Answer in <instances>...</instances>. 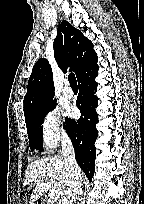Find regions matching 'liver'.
<instances>
[{
    "label": "liver",
    "mask_w": 144,
    "mask_h": 204,
    "mask_svg": "<svg viewBox=\"0 0 144 204\" xmlns=\"http://www.w3.org/2000/svg\"><path fill=\"white\" fill-rule=\"evenodd\" d=\"M37 179L39 180L38 182H36ZM33 182L36 183V187L26 197L29 204H34L43 195L45 191L44 184L46 182H50L52 187L57 189L61 198H63L68 189V177L64 158L61 155H55L32 161L25 170L23 186L26 187Z\"/></svg>",
    "instance_id": "1"
}]
</instances>
